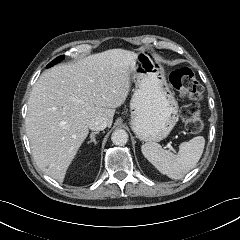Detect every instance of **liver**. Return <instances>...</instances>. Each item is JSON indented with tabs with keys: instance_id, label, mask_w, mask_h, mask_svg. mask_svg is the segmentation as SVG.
<instances>
[{
	"instance_id": "liver-1",
	"label": "liver",
	"mask_w": 240,
	"mask_h": 240,
	"mask_svg": "<svg viewBox=\"0 0 240 240\" xmlns=\"http://www.w3.org/2000/svg\"><path fill=\"white\" fill-rule=\"evenodd\" d=\"M137 54L110 49L54 66L35 83L28 100L26 133L38 167L63 182L67 169L98 116L111 127L126 100Z\"/></svg>"
}]
</instances>
